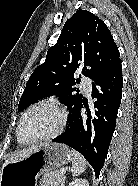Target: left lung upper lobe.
I'll return each mask as SVG.
<instances>
[{
    "label": "left lung upper lobe",
    "mask_w": 138,
    "mask_h": 186,
    "mask_svg": "<svg viewBox=\"0 0 138 186\" xmlns=\"http://www.w3.org/2000/svg\"><path fill=\"white\" fill-rule=\"evenodd\" d=\"M119 50L105 25L97 16L78 10L66 21L57 43L47 51L46 60L30 76L21 96L18 111L40 98L55 94L69 112L82 100L74 87L78 79L74 73L95 79L111 64L119 60Z\"/></svg>",
    "instance_id": "left-lung-upper-lobe-1"
}]
</instances>
